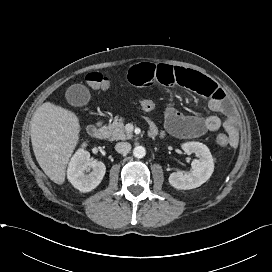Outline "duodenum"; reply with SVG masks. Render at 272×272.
<instances>
[{
    "mask_svg": "<svg viewBox=\"0 0 272 272\" xmlns=\"http://www.w3.org/2000/svg\"><path fill=\"white\" fill-rule=\"evenodd\" d=\"M87 134L96 140H104L107 137L106 129L103 127L101 123L91 124L87 127ZM150 135H154L153 132L150 131Z\"/></svg>",
    "mask_w": 272,
    "mask_h": 272,
    "instance_id": "410a0bca",
    "label": "duodenum"
}]
</instances>
